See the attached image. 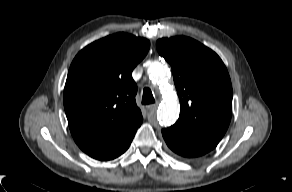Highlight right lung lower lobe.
Masks as SVG:
<instances>
[{
  "instance_id": "right-lung-lower-lobe-1",
  "label": "right lung lower lobe",
  "mask_w": 292,
  "mask_h": 192,
  "mask_svg": "<svg viewBox=\"0 0 292 192\" xmlns=\"http://www.w3.org/2000/svg\"><path fill=\"white\" fill-rule=\"evenodd\" d=\"M141 125V124H140ZM136 126L122 135L102 140L83 139L76 141L77 145L89 156L98 160H111L123 154L131 144L137 131Z\"/></svg>"
}]
</instances>
